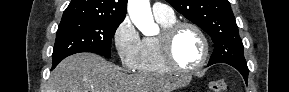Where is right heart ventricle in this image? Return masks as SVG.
<instances>
[{
  "label": "right heart ventricle",
  "mask_w": 289,
  "mask_h": 92,
  "mask_svg": "<svg viewBox=\"0 0 289 92\" xmlns=\"http://www.w3.org/2000/svg\"><path fill=\"white\" fill-rule=\"evenodd\" d=\"M155 19L162 29L176 22L175 16L155 17ZM136 69L145 74H168L171 72L162 59L157 36H147L141 40V54Z\"/></svg>",
  "instance_id": "right-heart-ventricle-1"
}]
</instances>
